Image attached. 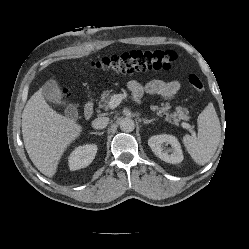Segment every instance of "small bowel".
I'll list each match as a JSON object with an SVG mask.
<instances>
[{"label":"small bowel","instance_id":"c3829d8e","mask_svg":"<svg viewBox=\"0 0 249 249\" xmlns=\"http://www.w3.org/2000/svg\"><path fill=\"white\" fill-rule=\"evenodd\" d=\"M128 87L135 99H140L144 94H157L162 99L170 100L177 95L181 84L177 80L169 82L153 80L143 86L138 81L131 80Z\"/></svg>","mask_w":249,"mask_h":249}]
</instances>
